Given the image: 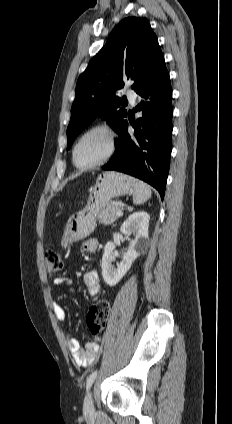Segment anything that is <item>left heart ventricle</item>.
Returning <instances> with one entry per match:
<instances>
[{
	"label": "left heart ventricle",
	"mask_w": 232,
	"mask_h": 424,
	"mask_svg": "<svg viewBox=\"0 0 232 424\" xmlns=\"http://www.w3.org/2000/svg\"><path fill=\"white\" fill-rule=\"evenodd\" d=\"M108 148V138L102 132H93L84 137L78 145L76 160L80 165L92 163L102 157Z\"/></svg>",
	"instance_id": "1"
}]
</instances>
